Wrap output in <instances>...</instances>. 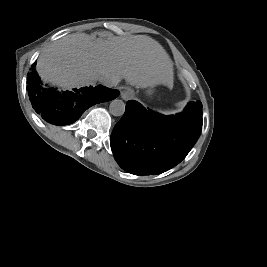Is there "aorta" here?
Returning a JSON list of instances; mask_svg holds the SVG:
<instances>
[{"mask_svg": "<svg viewBox=\"0 0 267 267\" xmlns=\"http://www.w3.org/2000/svg\"><path fill=\"white\" fill-rule=\"evenodd\" d=\"M109 112L113 116H122L125 112V103L120 99H114L109 106Z\"/></svg>", "mask_w": 267, "mask_h": 267, "instance_id": "aorta-1", "label": "aorta"}]
</instances>
